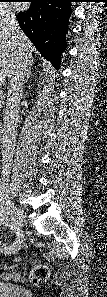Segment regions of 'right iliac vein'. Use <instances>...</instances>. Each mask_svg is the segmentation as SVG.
Here are the masks:
<instances>
[{
  "mask_svg": "<svg viewBox=\"0 0 107 297\" xmlns=\"http://www.w3.org/2000/svg\"><path fill=\"white\" fill-rule=\"evenodd\" d=\"M9 200V211L10 214L15 222V224L18 226V228H22L24 225V216L21 212V210L15 205V203L8 198ZM24 241V235L22 234L21 236H18L16 238V241L12 244V251L11 252H15L17 251L21 245L23 244ZM11 252H4L5 254L11 253Z\"/></svg>",
  "mask_w": 107,
  "mask_h": 297,
  "instance_id": "1",
  "label": "right iliac vein"
}]
</instances>
